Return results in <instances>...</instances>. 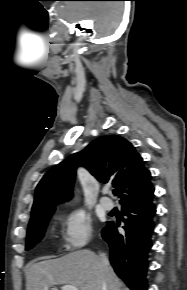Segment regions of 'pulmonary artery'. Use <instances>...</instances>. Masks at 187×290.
<instances>
[{
    "label": "pulmonary artery",
    "mask_w": 187,
    "mask_h": 290,
    "mask_svg": "<svg viewBox=\"0 0 187 290\" xmlns=\"http://www.w3.org/2000/svg\"><path fill=\"white\" fill-rule=\"evenodd\" d=\"M100 204L103 207V209L110 211L113 209L114 207V203L112 202L111 199H109L108 197L102 196L100 198Z\"/></svg>",
    "instance_id": "pulmonary-artery-1"
}]
</instances>
